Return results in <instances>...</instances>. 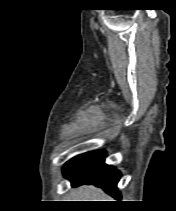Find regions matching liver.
<instances>
[{"mask_svg":"<svg viewBox=\"0 0 176 211\" xmlns=\"http://www.w3.org/2000/svg\"><path fill=\"white\" fill-rule=\"evenodd\" d=\"M77 193L79 199H83L81 201H107L105 199H109L100 189L94 186H83L79 188Z\"/></svg>","mask_w":176,"mask_h":211,"instance_id":"obj_1","label":"liver"}]
</instances>
